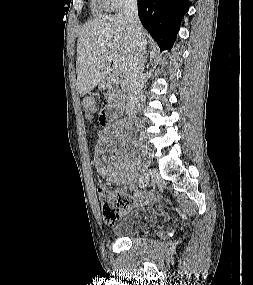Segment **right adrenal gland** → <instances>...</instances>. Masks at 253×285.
<instances>
[{
  "label": "right adrenal gland",
  "instance_id": "1",
  "mask_svg": "<svg viewBox=\"0 0 253 285\" xmlns=\"http://www.w3.org/2000/svg\"><path fill=\"white\" fill-rule=\"evenodd\" d=\"M145 61H147V56H146V58H145Z\"/></svg>",
  "mask_w": 253,
  "mask_h": 285
}]
</instances>
